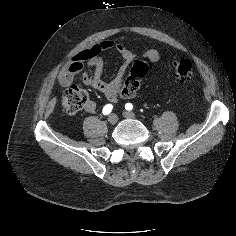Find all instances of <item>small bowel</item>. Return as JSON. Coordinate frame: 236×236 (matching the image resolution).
I'll list each match as a JSON object with an SVG mask.
<instances>
[{"label":"small bowel","instance_id":"c3829d8e","mask_svg":"<svg viewBox=\"0 0 236 236\" xmlns=\"http://www.w3.org/2000/svg\"><path fill=\"white\" fill-rule=\"evenodd\" d=\"M112 50L121 56L123 63L114 78L109 82H105L101 78L104 67L103 53ZM144 56L151 62H158L161 57L160 52L154 48L147 49L144 52ZM133 58L134 53L123 44L104 40L76 53L61 70L58 80L62 85H68L77 74L87 67L89 72L83 73V84L101 92L109 102H117L120 98L126 99L136 94L137 90L129 91L126 94L122 93L123 78ZM95 110L96 104L93 101H89L85 106V111L92 113Z\"/></svg>","mask_w":236,"mask_h":236}]
</instances>
